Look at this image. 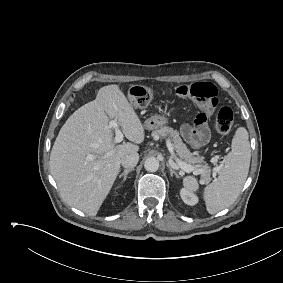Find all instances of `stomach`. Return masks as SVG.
<instances>
[{"label":"stomach","instance_id":"0dacf381","mask_svg":"<svg viewBox=\"0 0 283 283\" xmlns=\"http://www.w3.org/2000/svg\"><path fill=\"white\" fill-rule=\"evenodd\" d=\"M168 124V118L164 115L156 114L148 118L144 126L148 130H157L162 127H165Z\"/></svg>","mask_w":283,"mask_h":283}]
</instances>
